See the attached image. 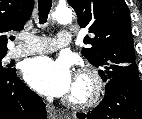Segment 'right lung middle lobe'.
Here are the masks:
<instances>
[{
	"label": "right lung middle lobe",
	"instance_id": "1",
	"mask_svg": "<svg viewBox=\"0 0 142 119\" xmlns=\"http://www.w3.org/2000/svg\"><path fill=\"white\" fill-rule=\"evenodd\" d=\"M6 52H0V76H6L9 73L13 72L15 69L10 68L9 65H5L3 58L5 57Z\"/></svg>",
	"mask_w": 142,
	"mask_h": 119
}]
</instances>
